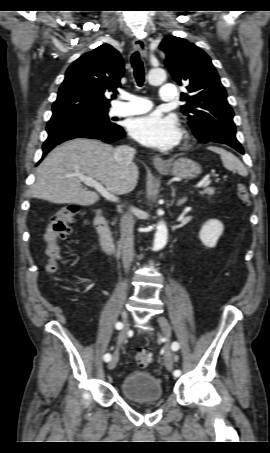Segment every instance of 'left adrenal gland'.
I'll list each match as a JSON object with an SVG mask.
<instances>
[{
	"label": "left adrenal gland",
	"mask_w": 270,
	"mask_h": 453,
	"mask_svg": "<svg viewBox=\"0 0 270 453\" xmlns=\"http://www.w3.org/2000/svg\"><path fill=\"white\" fill-rule=\"evenodd\" d=\"M175 192H176V189L175 188H172V197L174 198L175 197ZM187 201V197H183L181 199H179L177 201V206H181L182 204H184L185 202ZM174 202V200H173Z\"/></svg>",
	"instance_id": "1"
}]
</instances>
